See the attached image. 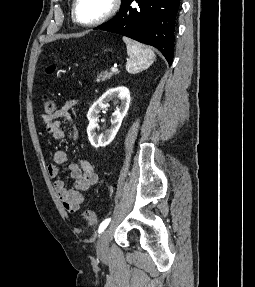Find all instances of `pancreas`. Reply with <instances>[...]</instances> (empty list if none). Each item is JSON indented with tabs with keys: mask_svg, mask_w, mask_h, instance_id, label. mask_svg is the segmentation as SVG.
Wrapping results in <instances>:
<instances>
[{
	"mask_svg": "<svg viewBox=\"0 0 255 287\" xmlns=\"http://www.w3.org/2000/svg\"><path fill=\"white\" fill-rule=\"evenodd\" d=\"M113 74H117V72H101V74H98L95 82H105V80H110Z\"/></svg>",
	"mask_w": 255,
	"mask_h": 287,
	"instance_id": "cf45deb5",
	"label": "pancreas"
}]
</instances>
